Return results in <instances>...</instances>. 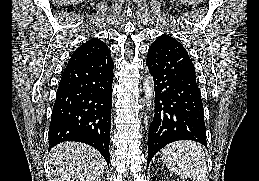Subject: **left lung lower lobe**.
Returning a JSON list of instances; mask_svg holds the SVG:
<instances>
[{
  "label": "left lung lower lobe",
  "mask_w": 259,
  "mask_h": 181,
  "mask_svg": "<svg viewBox=\"0 0 259 181\" xmlns=\"http://www.w3.org/2000/svg\"><path fill=\"white\" fill-rule=\"evenodd\" d=\"M188 57L183 45L168 35L149 47L146 65L154 80L155 114L149 127L148 165L174 141L194 140L207 147L201 94Z\"/></svg>",
  "instance_id": "0a47b994"
}]
</instances>
